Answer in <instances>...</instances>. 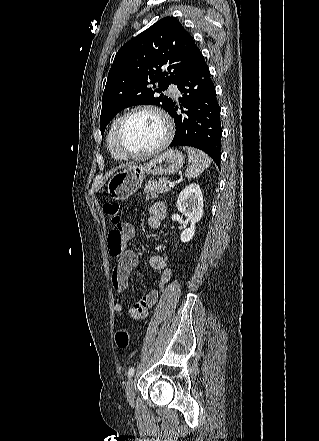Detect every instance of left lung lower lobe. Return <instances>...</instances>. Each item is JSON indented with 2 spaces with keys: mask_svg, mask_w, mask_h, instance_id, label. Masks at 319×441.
I'll return each mask as SVG.
<instances>
[{
  "mask_svg": "<svg viewBox=\"0 0 319 441\" xmlns=\"http://www.w3.org/2000/svg\"><path fill=\"white\" fill-rule=\"evenodd\" d=\"M183 98L179 99L184 115H178L175 103L169 112L176 125L171 147L192 146L207 153L219 166L222 128L220 107L214 84L202 54L177 84Z\"/></svg>",
  "mask_w": 319,
  "mask_h": 441,
  "instance_id": "1",
  "label": "left lung lower lobe"
}]
</instances>
